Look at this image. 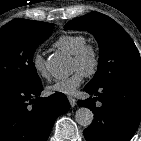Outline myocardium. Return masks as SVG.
Masks as SVG:
<instances>
[{
    "mask_svg": "<svg viewBox=\"0 0 141 141\" xmlns=\"http://www.w3.org/2000/svg\"><path fill=\"white\" fill-rule=\"evenodd\" d=\"M73 59L79 64H87L82 71L85 77L93 76L99 69L100 54L98 48L93 44L85 43L73 54Z\"/></svg>",
    "mask_w": 141,
    "mask_h": 141,
    "instance_id": "myocardium-1",
    "label": "myocardium"
}]
</instances>
